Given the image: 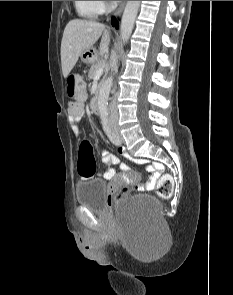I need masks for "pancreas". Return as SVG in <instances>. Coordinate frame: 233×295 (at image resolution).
I'll return each mask as SVG.
<instances>
[{
    "label": "pancreas",
    "instance_id": "1",
    "mask_svg": "<svg viewBox=\"0 0 233 295\" xmlns=\"http://www.w3.org/2000/svg\"><path fill=\"white\" fill-rule=\"evenodd\" d=\"M105 65V62L103 60H96V62H94L89 70L88 76L90 79H93L96 76V71L101 67ZM105 77L101 80V82L99 83L98 89L100 88V86L103 84Z\"/></svg>",
    "mask_w": 233,
    "mask_h": 295
}]
</instances>
